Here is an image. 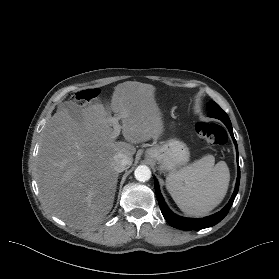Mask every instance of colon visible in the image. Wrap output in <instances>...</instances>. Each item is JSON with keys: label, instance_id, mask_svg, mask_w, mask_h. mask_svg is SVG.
Segmentation results:
<instances>
[{"label": "colon", "instance_id": "colon-1", "mask_svg": "<svg viewBox=\"0 0 279 279\" xmlns=\"http://www.w3.org/2000/svg\"><path fill=\"white\" fill-rule=\"evenodd\" d=\"M96 96V90H86L79 95V99L88 101ZM195 131L197 135L210 146L224 147L228 144V133L219 124L199 122L195 125Z\"/></svg>", "mask_w": 279, "mask_h": 279}]
</instances>
